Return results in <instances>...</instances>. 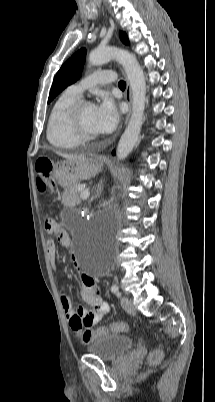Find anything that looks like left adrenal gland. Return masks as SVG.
<instances>
[{
	"label": "left adrenal gland",
	"mask_w": 215,
	"mask_h": 402,
	"mask_svg": "<svg viewBox=\"0 0 215 402\" xmlns=\"http://www.w3.org/2000/svg\"><path fill=\"white\" fill-rule=\"evenodd\" d=\"M102 190H103V181L101 180L100 183L97 186L96 193H95L93 198L99 197L100 194L102 193Z\"/></svg>",
	"instance_id": "1"
}]
</instances>
